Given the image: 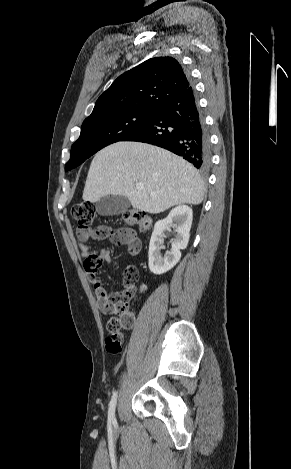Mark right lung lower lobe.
<instances>
[{"label": "right lung lower lobe", "instance_id": "1", "mask_svg": "<svg viewBox=\"0 0 291 469\" xmlns=\"http://www.w3.org/2000/svg\"><path fill=\"white\" fill-rule=\"evenodd\" d=\"M122 141H139L165 148L200 170L210 166V140L192 86L162 101L140 128Z\"/></svg>", "mask_w": 291, "mask_h": 469}]
</instances>
